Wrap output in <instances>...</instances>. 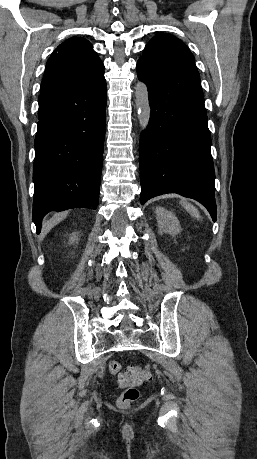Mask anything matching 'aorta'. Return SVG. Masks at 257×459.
Masks as SVG:
<instances>
[{"instance_id": "obj_1", "label": "aorta", "mask_w": 257, "mask_h": 459, "mask_svg": "<svg viewBox=\"0 0 257 459\" xmlns=\"http://www.w3.org/2000/svg\"><path fill=\"white\" fill-rule=\"evenodd\" d=\"M135 103L138 112L140 127L145 130L150 121V104L148 89L144 82L138 81L135 87Z\"/></svg>"}]
</instances>
